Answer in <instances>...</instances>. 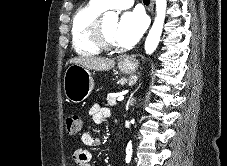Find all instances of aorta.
<instances>
[{
  "instance_id": "obj_1",
  "label": "aorta",
  "mask_w": 227,
  "mask_h": 166,
  "mask_svg": "<svg viewBox=\"0 0 227 166\" xmlns=\"http://www.w3.org/2000/svg\"><path fill=\"white\" fill-rule=\"evenodd\" d=\"M155 2H156V17L153 26L150 29L149 34L146 38L144 46L146 54L149 55H151L156 50L159 44L167 8V0H155ZM104 18L107 20L117 21L118 15L113 11H108L104 14ZM131 156L132 143L130 141L126 147V162H129L131 160Z\"/></svg>"
}]
</instances>
